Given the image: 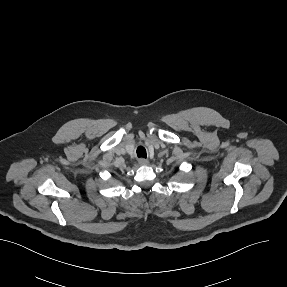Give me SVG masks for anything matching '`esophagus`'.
I'll return each mask as SVG.
<instances>
[{"label": "esophagus", "mask_w": 287, "mask_h": 287, "mask_svg": "<svg viewBox=\"0 0 287 287\" xmlns=\"http://www.w3.org/2000/svg\"><path fill=\"white\" fill-rule=\"evenodd\" d=\"M139 164L142 165V166H146L149 164V161L147 159H144V158H140L138 160Z\"/></svg>", "instance_id": "esophagus-1"}]
</instances>
